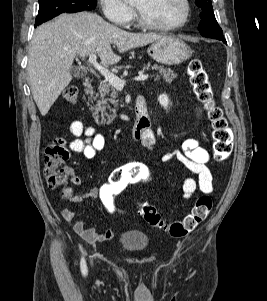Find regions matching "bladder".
I'll use <instances>...</instances> for the list:
<instances>
[{
    "label": "bladder",
    "mask_w": 267,
    "mask_h": 301,
    "mask_svg": "<svg viewBox=\"0 0 267 301\" xmlns=\"http://www.w3.org/2000/svg\"><path fill=\"white\" fill-rule=\"evenodd\" d=\"M119 245L130 252H142L148 248L149 237L140 230H125L118 239Z\"/></svg>",
    "instance_id": "31cf9c89"
}]
</instances>
